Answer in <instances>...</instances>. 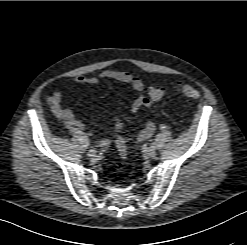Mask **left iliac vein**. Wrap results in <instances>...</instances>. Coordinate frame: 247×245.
I'll return each instance as SVG.
<instances>
[{
    "label": "left iliac vein",
    "instance_id": "1",
    "mask_svg": "<svg viewBox=\"0 0 247 245\" xmlns=\"http://www.w3.org/2000/svg\"><path fill=\"white\" fill-rule=\"evenodd\" d=\"M156 153V145L153 143L148 147L147 154L150 157H153Z\"/></svg>",
    "mask_w": 247,
    "mask_h": 245
}]
</instances>
